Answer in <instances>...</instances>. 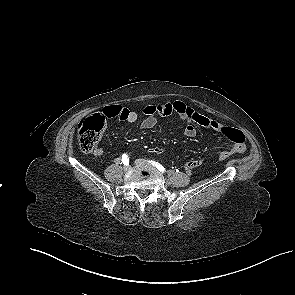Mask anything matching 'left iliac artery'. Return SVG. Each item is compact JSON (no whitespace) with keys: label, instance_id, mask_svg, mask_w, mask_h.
I'll list each match as a JSON object with an SVG mask.
<instances>
[{"label":"left iliac artery","instance_id":"obj_1","mask_svg":"<svg viewBox=\"0 0 295 295\" xmlns=\"http://www.w3.org/2000/svg\"><path fill=\"white\" fill-rule=\"evenodd\" d=\"M153 166H155L160 172L164 173L166 170L165 168L158 162L149 161Z\"/></svg>","mask_w":295,"mask_h":295}]
</instances>
